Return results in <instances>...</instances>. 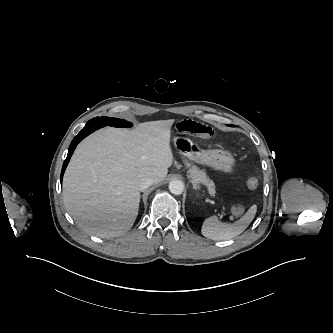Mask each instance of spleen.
Returning <instances> with one entry per match:
<instances>
[{
    "instance_id": "spleen-1",
    "label": "spleen",
    "mask_w": 333,
    "mask_h": 333,
    "mask_svg": "<svg viewBox=\"0 0 333 333\" xmlns=\"http://www.w3.org/2000/svg\"><path fill=\"white\" fill-rule=\"evenodd\" d=\"M236 212V208H232ZM257 211L256 205H253L245 215L233 224L223 223L216 217L207 218L201 229L203 236L213 240H228L241 234L254 219Z\"/></svg>"
}]
</instances>
